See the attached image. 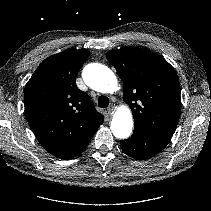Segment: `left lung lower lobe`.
<instances>
[{"label": "left lung lower lobe", "instance_id": "obj_1", "mask_svg": "<svg viewBox=\"0 0 211 211\" xmlns=\"http://www.w3.org/2000/svg\"><path fill=\"white\" fill-rule=\"evenodd\" d=\"M172 136L171 134L134 131L130 138L121 140L120 146L130 157L145 160L163 150Z\"/></svg>", "mask_w": 211, "mask_h": 211}]
</instances>
